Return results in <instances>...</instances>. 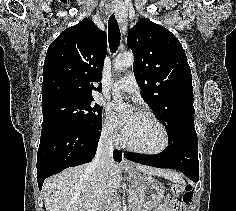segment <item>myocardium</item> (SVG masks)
Instances as JSON below:
<instances>
[{
	"label": "myocardium",
	"mask_w": 236,
	"mask_h": 211,
	"mask_svg": "<svg viewBox=\"0 0 236 211\" xmlns=\"http://www.w3.org/2000/svg\"><path fill=\"white\" fill-rule=\"evenodd\" d=\"M139 114L151 119L161 129V132L163 135V142H162L161 147L157 150H154V151H148V150L136 148L127 142V140L125 138V133L123 134L122 145L126 149H128L132 152H135L138 154H143V155H160V154L164 153L170 145V137H169V133H168L166 126L159 118H157L153 113H151L149 111L143 110Z\"/></svg>",
	"instance_id": "obj_1"
}]
</instances>
